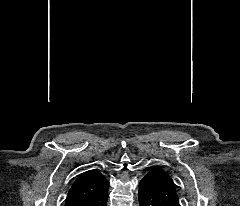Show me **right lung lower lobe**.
Returning a JSON list of instances; mask_svg holds the SVG:
<instances>
[{"label": "right lung lower lobe", "mask_w": 240, "mask_h": 206, "mask_svg": "<svg viewBox=\"0 0 240 206\" xmlns=\"http://www.w3.org/2000/svg\"><path fill=\"white\" fill-rule=\"evenodd\" d=\"M108 186L97 195L80 202L76 206H107Z\"/></svg>", "instance_id": "obj_1"}]
</instances>
